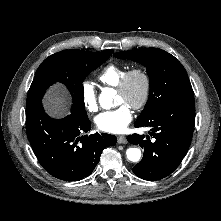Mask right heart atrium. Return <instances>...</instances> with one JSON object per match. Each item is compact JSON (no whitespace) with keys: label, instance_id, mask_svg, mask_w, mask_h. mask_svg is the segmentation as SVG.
<instances>
[{"label":"right heart atrium","instance_id":"right-heart-atrium-1","mask_svg":"<svg viewBox=\"0 0 221 221\" xmlns=\"http://www.w3.org/2000/svg\"><path fill=\"white\" fill-rule=\"evenodd\" d=\"M81 98L85 109L95 112L98 109V98L94 84L91 81H84L81 85Z\"/></svg>","mask_w":221,"mask_h":221}]
</instances>
